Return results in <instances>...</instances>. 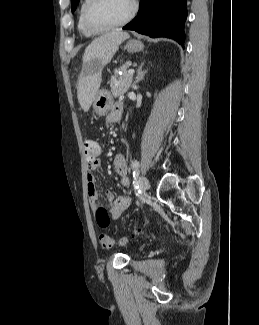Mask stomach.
Instances as JSON below:
<instances>
[{"label": "stomach", "mask_w": 259, "mask_h": 325, "mask_svg": "<svg viewBox=\"0 0 259 325\" xmlns=\"http://www.w3.org/2000/svg\"><path fill=\"white\" fill-rule=\"evenodd\" d=\"M143 48L144 45L139 40H130L125 45V49L131 53L140 52ZM112 104L113 98L111 94L106 90H99L93 102V109L97 115L105 116L111 109Z\"/></svg>", "instance_id": "obj_1"}]
</instances>
